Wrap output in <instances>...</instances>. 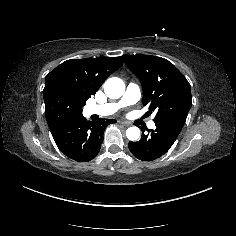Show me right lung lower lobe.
I'll list each match as a JSON object with an SVG mask.
<instances>
[{
    "mask_svg": "<svg viewBox=\"0 0 236 236\" xmlns=\"http://www.w3.org/2000/svg\"><path fill=\"white\" fill-rule=\"evenodd\" d=\"M114 119L87 121L82 114L50 128L59 150L67 157L78 161L92 160L99 152L106 126Z\"/></svg>",
    "mask_w": 236,
    "mask_h": 236,
    "instance_id": "obj_1",
    "label": "right lung lower lobe"
}]
</instances>
